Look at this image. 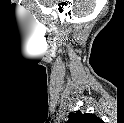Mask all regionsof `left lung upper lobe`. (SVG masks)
I'll return each mask as SVG.
<instances>
[{
	"instance_id": "5c2ea615",
	"label": "left lung upper lobe",
	"mask_w": 124,
	"mask_h": 123,
	"mask_svg": "<svg viewBox=\"0 0 124 123\" xmlns=\"http://www.w3.org/2000/svg\"><path fill=\"white\" fill-rule=\"evenodd\" d=\"M99 117L94 114L82 113L80 110L70 113L67 123H98Z\"/></svg>"
}]
</instances>
